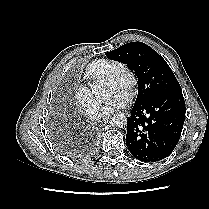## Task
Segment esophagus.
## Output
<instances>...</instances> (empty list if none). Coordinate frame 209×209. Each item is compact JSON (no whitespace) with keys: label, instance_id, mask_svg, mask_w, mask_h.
Masks as SVG:
<instances>
[{"label":"esophagus","instance_id":"esophagus-1","mask_svg":"<svg viewBox=\"0 0 209 209\" xmlns=\"http://www.w3.org/2000/svg\"><path fill=\"white\" fill-rule=\"evenodd\" d=\"M109 121V118H104L102 121H101V125H105L107 124V122Z\"/></svg>","mask_w":209,"mask_h":209}]
</instances>
